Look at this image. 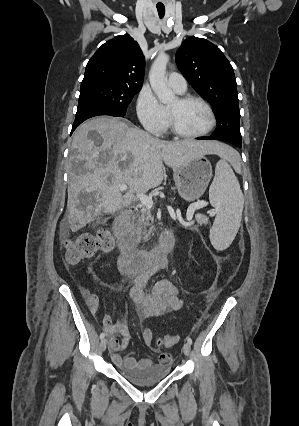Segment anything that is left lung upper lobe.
I'll use <instances>...</instances> for the list:
<instances>
[{"instance_id": "1", "label": "left lung upper lobe", "mask_w": 299, "mask_h": 426, "mask_svg": "<svg viewBox=\"0 0 299 426\" xmlns=\"http://www.w3.org/2000/svg\"><path fill=\"white\" fill-rule=\"evenodd\" d=\"M176 63L189 84L213 105L217 128L212 137L242 146L237 84L222 51L206 39L189 37L178 49Z\"/></svg>"}]
</instances>
